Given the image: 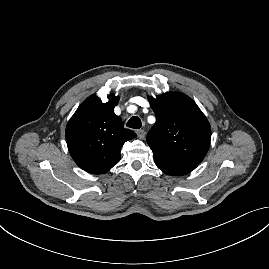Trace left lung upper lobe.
I'll return each mask as SVG.
<instances>
[{
	"label": "left lung upper lobe",
	"mask_w": 269,
	"mask_h": 269,
	"mask_svg": "<svg viewBox=\"0 0 269 269\" xmlns=\"http://www.w3.org/2000/svg\"><path fill=\"white\" fill-rule=\"evenodd\" d=\"M156 123L147 134L155 160L200 164L211 139V127L196 103L183 93L149 97Z\"/></svg>",
	"instance_id": "obj_1"
}]
</instances>
